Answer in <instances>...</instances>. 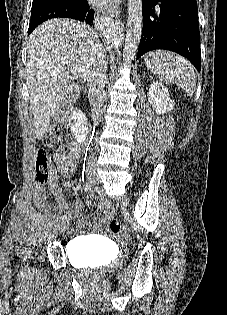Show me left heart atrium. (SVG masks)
<instances>
[{"label":"left heart atrium","mask_w":227,"mask_h":315,"mask_svg":"<svg viewBox=\"0 0 227 315\" xmlns=\"http://www.w3.org/2000/svg\"><path fill=\"white\" fill-rule=\"evenodd\" d=\"M95 4L103 7H111L114 6L118 0H92Z\"/></svg>","instance_id":"obj_1"}]
</instances>
